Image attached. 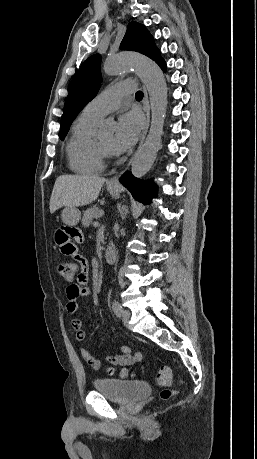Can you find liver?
<instances>
[{"mask_svg": "<svg viewBox=\"0 0 257 459\" xmlns=\"http://www.w3.org/2000/svg\"><path fill=\"white\" fill-rule=\"evenodd\" d=\"M105 181V178L94 175L59 176L51 194L50 213L63 206L78 207L94 202Z\"/></svg>", "mask_w": 257, "mask_h": 459, "instance_id": "obj_1", "label": "liver"}]
</instances>
